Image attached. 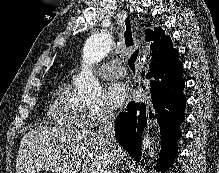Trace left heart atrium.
I'll return each mask as SVG.
<instances>
[{"mask_svg": "<svg viewBox=\"0 0 219 173\" xmlns=\"http://www.w3.org/2000/svg\"><path fill=\"white\" fill-rule=\"evenodd\" d=\"M106 101L112 107L121 106L128 98V89L122 82H112L106 89Z\"/></svg>", "mask_w": 219, "mask_h": 173, "instance_id": "left-heart-atrium-1", "label": "left heart atrium"}]
</instances>
